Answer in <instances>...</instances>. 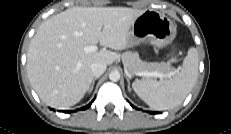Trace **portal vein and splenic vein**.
Returning a JSON list of instances; mask_svg holds the SVG:
<instances>
[{
    "label": "portal vein and splenic vein",
    "mask_w": 231,
    "mask_h": 134,
    "mask_svg": "<svg viewBox=\"0 0 231 134\" xmlns=\"http://www.w3.org/2000/svg\"><path fill=\"white\" fill-rule=\"evenodd\" d=\"M97 50H98V47L96 45H90V46H86L84 48V51L86 53L95 52ZM175 74H176V71H172V72H170L168 74H163V73H160V72H157V71H154V72L144 71V72H138L135 75L144 76V77H158L160 79H163L164 77L174 76Z\"/></svg>",
    "instance_id": "18ae733b"
}]
</instances>
